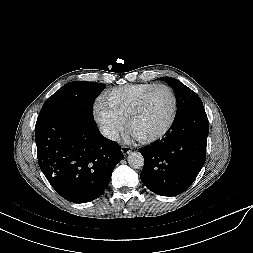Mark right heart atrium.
Returning a JSON list of instances; mask_svg holds the SVG:
<instances>
[{"mask_svg": "<svg viewBox=\"0 0 253 253\" xmlns=\"http://www.w3.org/2000/svg\"><path fill=\"white\" fill-rule=\"evenodd\" d=\"M93 112L105 135L111 140L118 139L124 131V123L107 107L103 100L95 102Z\"/></svg>", "mask_w": 253, "mask_h": 253, "instance_id": "d8ad5b80", "label": "right heart atrium"}]
</instances>
